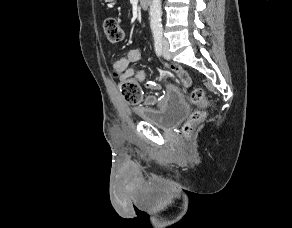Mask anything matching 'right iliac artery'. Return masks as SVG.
<instances>
[{"label": "right iliac artery", "instance_id": "right-iliac-artery-1", "mask_svg": "<svg viewBox=\"0 0 292 228\" xmlns=\"http://www.w3.org/2000/svg\"><path fill=\"white\" fill-rule=\"evenodd\" d=\"M154 46H155V52L158 56L162 55V36L161 35H155L154 36Z\"/></svg>", "mask_w": 292, "mask_h": 228}]
</instances>
